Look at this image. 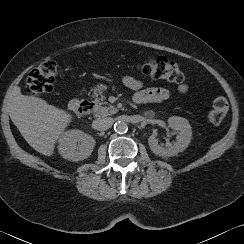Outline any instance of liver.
<instances>
[{
    "label": "liver",
    "instance_id": "1",
    "mask_svg": "<svg viewBox=\"0 0 244 244\" xmlns=\"http://www.w3.org/2000/svg\"><path fill=\"white\" fill-rule=\"evenodd\" d=\"M9 114L26 142L46 156L53 154L57 138L72 120L65 110L41 98L22 95L20 89L9 100Z\"/></svg>",
    "mask_w": 244,
    "mask_h": 244
}]
</instances>
